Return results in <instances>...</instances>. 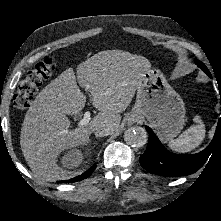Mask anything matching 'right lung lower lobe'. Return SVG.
<instances>
[{
    "mask_svg": "<svg viewBox=\"0 0 221 221\" xmlns=\"http://www.w3.org/2000/svg\"><path fill=\"white\" fill-rule=\"evenodd\" d=\"M96 168V164H94L92 167H90L86 172H84L83 174L75 177V178H72L70 180H66L65 182H76V181H81L85 178H88L92 172L94 171V169ZM64 181H59V183H63Z\"/></svg>",
    "mask_w": 221,
    "mask_h": 221,
    "instance_id": "obj_1",
    "label": "right lung lower lobe"
}]
</instances>
